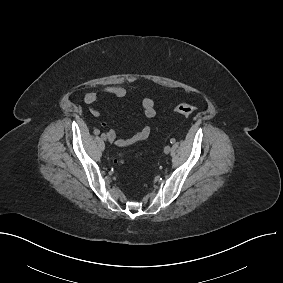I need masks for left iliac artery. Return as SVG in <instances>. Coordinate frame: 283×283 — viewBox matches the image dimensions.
Masks as SVG:
<instances>
[{"mask_svg": "<svg viewBox=\"0 0 283 283\" xmlns=\"http://www.w3.org/2000/svg\"><path fill=\"white\" fill-rule=\"evenodd\" d=\"M170 143H171V144L175 143V139L172 138V139L170 140Z\"/></svg>", "mask_w": 283, "mask_h": 283, "instance_id": "obj_1", "label": "left iliac artery"}]
</instances>
